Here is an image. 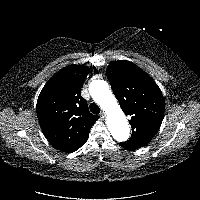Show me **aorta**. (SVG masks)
Wrapping results in <instances>:
<instances>
[{
    "label": "aorta",
    "mask_w": 200,
    "mask_h": 200,
    "mask_svg": "<svg viewBox=\"0 0 200 200\" xmlns=\"http://www.w3.org/2000/svg\"><path fill=\"white\" fill-rule=\"evenodd\" d=\"M92 98L107 114V126L113 138L118 142H124L129 138L130 128L115 96L112 94L107 82L94 80L89 85Z\"/></svg>",
    "instance_id": "762f6f07"
}]
</instances>
